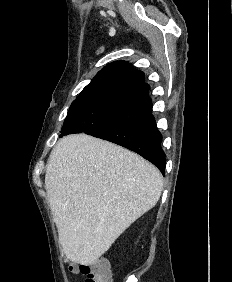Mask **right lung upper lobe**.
Masks as SVG:
<instances>
[{"label":"right lung upper lobe","mask_w":232,"mask_h":282,"mask_svg":"<svg viewBox=\"0 0 232 282\" xmlns=\"http://www.w3.org/2000/svg\"><path fill=\"white\" fill-rule=\"evenodd\" d=\"M149 85L145 83L144 73L133 68L128 62L116 61L107 64L80 95L110 90L137 91L148 96Z\"/></svg>","instance_id":"cb5924a9"}]
</instances>
